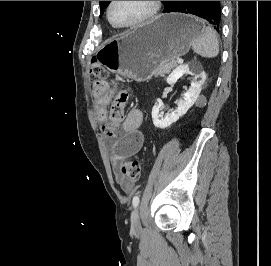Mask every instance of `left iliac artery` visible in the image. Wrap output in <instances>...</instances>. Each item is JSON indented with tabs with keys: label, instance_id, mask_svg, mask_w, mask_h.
Here are the masks:
<instances>
[{
	"label": "left iliac artery",
	"instance_id": "1",
	"mask_svg": "<svg viewBox=\"0 0 271 266\" xmlns=\"http://www.w3.org/2000/svg\"><path fill=\"white\" fill-rule=\"evenodd\" d=\"M138 204H139V197L138 196H134L133 200H132L133 207L136 208L138 206Z\"/></svg>",
	"mask_w": 271,
	"mask_h": 266
}]
</instances>
